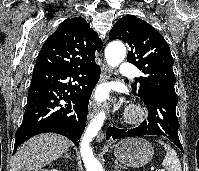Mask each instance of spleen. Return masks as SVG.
<instances>
[{
    "label": "spleen",
    "mask_w": 199,
    "mask_h": 171,
    "mask_svg": "<svg viewBox=\"0 0 199 171\" xmlns=\"http://www.w3.org/2000/svg\"><path fill=\"white\" fill-rule=\"evenodd\" d=\"M158 142L164 147V150L166 151V155L162 164L167 169V171H182L181 163L179 161L176 151L168 144L162 141Z\"/></svg>",
    "instance_id": "1"
}]
</instances>
